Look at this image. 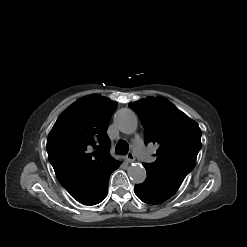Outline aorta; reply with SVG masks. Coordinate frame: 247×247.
Instances as JSON below:
<instances>
[{"mask_svg": "<svg viewBox=\"0 0 247 247\" xmlns=\"http://www.w3.org/2000/svg\"><path fill=\"white\" fill-rule=\"evenodd\" d=\"M116 127L125 134H132L136 131L138 120L136 114L130 109H121L115 115ZM130 179L136 183H143L146 179V170L140 164H132L128 168Z\"/></svg>", "mask_w": 247, "mask_h": 247, "instance_id": "1", "label": "aorta"}]
</instances>
